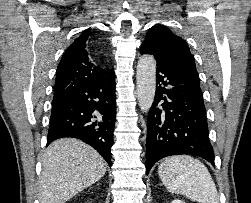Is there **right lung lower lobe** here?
<instances>
[{
	"label": "right lung lower lobe",
	"instance_id": "obj_1",
	"mask_svg": "<svg viewBox=\"0 0 251 203\" xmlns=\"http://www.w3.org/2000/svg\"><path fill=\"white\" fill-rule=\"evenodd\" d=\"M115 120V74L111 70L52 102L47 145L63 137L78 138L96 149L111 167Z\"/></svg>",
	"mask_w": 251,
	"mask_h": 203
}]
</instances>
